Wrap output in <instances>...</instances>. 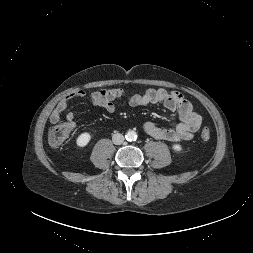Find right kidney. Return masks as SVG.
Instances as JSON below:
<instances>
[{
	"instance_id": "1",
	"label": "right kidney",
	"mask_w": 253,
	"mask_h": 253,
	"mask_svg": "<svg viewBox=\"0 0 253 253\" xmlns=\"http://www.w3.org/2000/svg\"><path fill=\"white\" fill-rule=\"evenodd\" d=\"M91 139V135L87 132L80 134L76 140L78 147H85Z\"/></svg>"
}]
</instances>
